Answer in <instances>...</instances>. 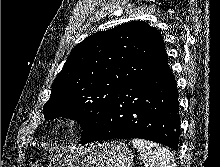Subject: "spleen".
<instances>
[{
  "instance_id": "spleen-1",
  "label": "spleen",
  "mask_w": 220,
  "mask_h": 167,
  "mask_svg": "<svg viewBox=\"0 0 220 167\" xmlns=\"http://www.w3.org/2000/svg\"><path fill=\"white\" fill-rule=\"evenodd\" d=\"M132 144L140 152L145 167H176L174 157L166 147L137 138Z\"/></svg>"
}]
</instances>
